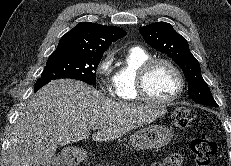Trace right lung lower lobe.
<instances>
[{"label":"right lung lower lobe","instance_id":"98d812e1","mask_svg":"<svg viewBox=\"0 0 231 166\" xmlns=\"http://www.w3.org/2000/svg\"><path fill=\"white\" fill-rule=\"evenodd\" d=\"M51 79L39 78L35 84L34 91H38L42 86L49 83Z\"/></svg>","mask_w":231,"mask_h":166}]
</instances>
